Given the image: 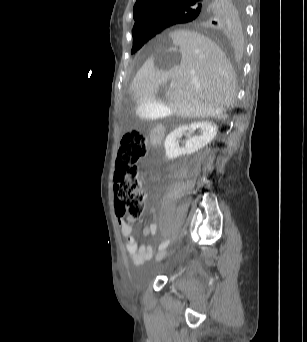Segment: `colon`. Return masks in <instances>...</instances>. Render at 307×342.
I'll return each instance as SVG.
<instances>
[{
	"instance_id": "1",
	"label": "colon",
	"mask_w": 307,
	"mask_h": 342,
	"mask_svg": "<svg viewBox=\"0 0 307 342\" xmlns=\"http://www.w3.org/2000/svg\"><path fill=\"white\" fill-rule=\"evenodd\" d=\"M147 138L136 130L127 131L119 145L114 183L115 206L121 215L138 220L144 212L147 195L138 181L137 164L143 158Z\"/></svg>"
}]
</instances>
